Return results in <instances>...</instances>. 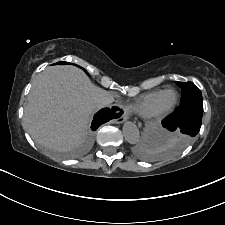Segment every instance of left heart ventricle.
<instances>
[{"instance_id": "left-heart-ventricle-1", "label": "left heart ventricle", "mask_w": 225, "mask_h": 225, "mask_svg": "<svg viewBox=\"0 0 225 225\" xmlns=\"http://www.w3.org/2000/svg\"><path fill=\"white\" fill-rule=\"evenodd\" d=\"M174 98H175L174 93L168 92L161 97L159 104L160 106H167L174 101Z\"/></svg>"}]
</instances>
